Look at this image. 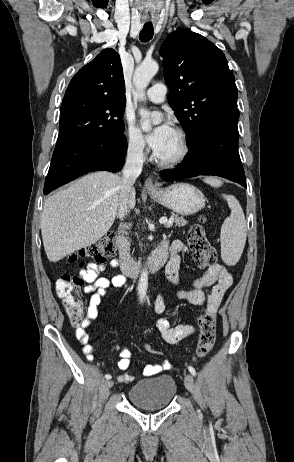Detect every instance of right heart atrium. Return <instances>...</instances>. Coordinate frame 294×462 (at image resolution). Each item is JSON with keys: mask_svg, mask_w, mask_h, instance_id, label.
Listing matches in <instances>:
<instances>
[{"mask_svg": "<svg viewBox=\"0 0 294 462\" xmlns=\"http://www.w3.org/2000/svg\"><path fill=\"white\" fill-rule=\"evenodd\" d=\"M125 120L127 149L135 157L143 158L146 153L144 138L129 117H125Z\"/></svg>", "mask_w": 294, "mask_h": 462, "instance_id": "1", "label": "right heart atrium"}]
</instances>
